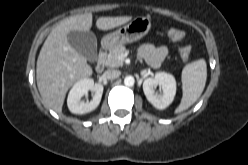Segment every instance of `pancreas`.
<instances>
[{"mask_svg": "<svg viewBox=\"0 0 248 165\" xmlns=\"http://www.w3.org/2000/svg\"><path fill=\"white\" fill-rule=\"evenodd\" d=\"M127 52V49L124 45L114 46L105 57V65L111 68L123 66V59H120V56Z\"/></svg>", "mask_w": 248, "mask_h": 165, "instance_id": "1", "label": "pancreas"}]
</instances>
